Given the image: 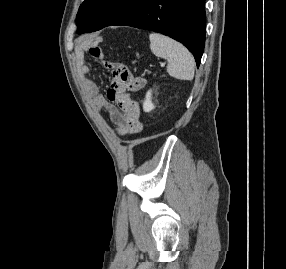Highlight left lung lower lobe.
Instances as JSON below:
<instances>
[{
	"instance_id": "0a47b994",
	"label": "left lung lower lobe",
	"mask_w": 286,
	"mask_h": 269,
	"mask_svg": "<svg viewBox=\"0 0 286 269\" xmlns=\"http://www.w3.org/2000/svg\"><path fill=\"white\" fill-rule=\"evenodd\" d=\"M205 23V0H143L111 25H126L170 36L188 48L198 67L205 45Z\"/></svg>"
}]
</instances>
